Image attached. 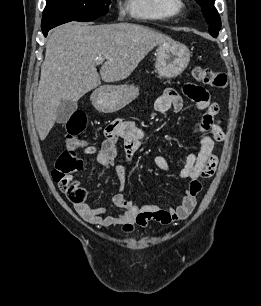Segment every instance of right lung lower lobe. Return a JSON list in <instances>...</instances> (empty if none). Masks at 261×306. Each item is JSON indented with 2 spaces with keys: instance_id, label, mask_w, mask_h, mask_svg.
I'll return each mask as SVG.
<instances>
[{
  "instance_id": "1",
  "label": "right lung lower lobe",
  "mask_w": 261,
  "mask_h": 306,
  "mask_svg": "<svg viewBox=\"0 0 261 306\" xmlns=\"http://www.w3.org/2000/svg\"><path fill=\"white\" fill-rule=\"evenodd\" d=\"M70 21L71 20H67V19H42V23H41L42 32L44 36L46 37L50 29L58 25L70 22Z\"/></svg>"
}]
</instances>
